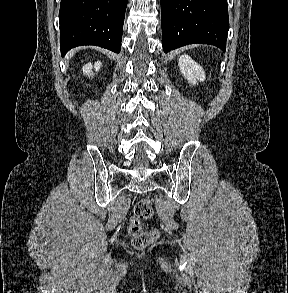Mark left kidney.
Returning <instances> with one entry per match:
<instances>
[{"instance_id": "left-kidney-1", "label": "left kidney", "mask_w": 288, "mask_h": 293, "mask_svg": "<svg viewBox=\"0 0 288 293\" xmlns=\"http://www.w3.org/2000/svg\"><path fill=\"white\" fill-rule=\"evenodd\" d=\"M179 68L190 84L196 85L197 81L201 82L206 78L203 68L186 55L180 56Z\"/></svg>"}]
</instances>
